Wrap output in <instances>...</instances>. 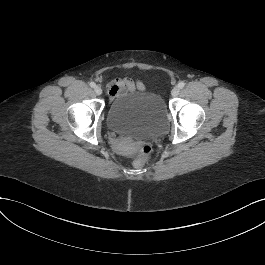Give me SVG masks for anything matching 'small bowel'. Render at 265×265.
<instances>
[{"label":"small bowel","mask_w":265,"mask_h":265,"mask_svg":"<svg viewBox=\"0 0 265 265\" xmlns=\"http://www.w3.org/2000/svg\"><path fill=\"white\" fill-rule=\"evenodd\" d=\"M134 88H142V85L129 79H115L108 83V92L111 97L121 95Z\"/></svg>","instance_id":"c3829d8e"}]
</instances>
